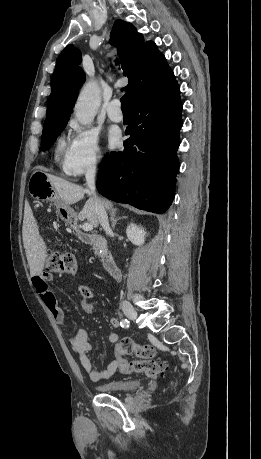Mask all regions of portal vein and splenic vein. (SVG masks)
I'll return each mask as SVG.
<instances>
[{
  "label": "portal vein and splenic vein",
  "instance_id": "1",
  "mask_svg": "<svg viewBox=\"0 0 261 459\" xmlns=\"http://www.w3.org/2000/svg\"><path fill=\"white\" fill-rule=\"evenodd\" d=\"M82 229L84 231H91L93 229V225L90 224V223H84L83 226H82Z\"/></svg>",
  "mask_w": 261,
  "mask_h": 459
}]
</instances>
